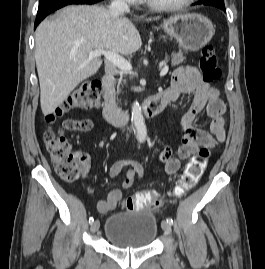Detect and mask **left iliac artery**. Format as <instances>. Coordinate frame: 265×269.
Returning a JSON list of instances; mask_svg holds the SVG:
<instances>
[{
	"instance_id": "left-iliac-artery-1",
	"label": "left iliac artery",
	"mask_w": 265,
	"mask_h": 269,
	"mask_svg": "<svg viewBox=\"0 0 265 269\" xmlns=\"http://www.w3.org/2000/svg\"><path fill=\"white\" fill-rule=\"evenodd\" d=\"M170 225H173V220H172V218H167V220H166Z\"/></svg>"
}]
</instances>
